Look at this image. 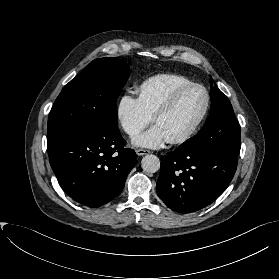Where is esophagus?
<instances>
[{"label": "esophagus", "mask_w": 279, "mask_h": 279, "mask_svg": "<svg viewBox=\"0 0 279 279\" xmlns=\"http://www.w3.org/2000/svg\"><path fill=\"white\" fill-rule=\"evenodd\" d=\"M149 153H150V151H149V150H146V149H137V150H136V154H137L138 156L147 155V154H149Z\"/></svg>", "instance_id": "esophagus-1"}]
</instances>
